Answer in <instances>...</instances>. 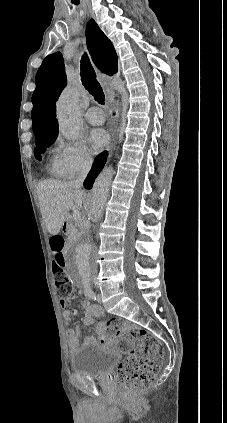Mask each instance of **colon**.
Instances as JSON below:
<instances>
[{"instance_id": "1", "label": "colon", "mask_w": 227, "mask_h": 423, "mask_svg": "<svg viewBox=\"0 0 227 423\" xmlns=\"http://www.w3.org/2000/svg\"><path fill=\"white\" fill-rule=\"evenodd\" d=\"M50 243L54 256L55 284L60 294H69L72 292V284L64 270V240L57 235L51 238ZM113 323L117 327L121 350L127 355L116 371L117 381L127 395H139L152 385L161 367L162 345L151 332L142 327Z\"/></svg>"}]
</instances>
